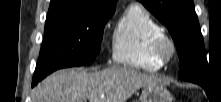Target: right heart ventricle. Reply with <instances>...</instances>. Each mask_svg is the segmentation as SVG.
Masks as SVG:
<instances>
[{
	"mask_svg": "<svg viewBox=\"0 0 221 102\" xmlns=\"http://www.w3.org/2000/svg\"><path fill=\"white\" fill-rule=\"evenodd\" d=\"M163 30L152 14L139 4H130L117 20L112 34L111 56L122 66L157 71L163 64L150 53L151 41Z\"/></svg>",
	"mask_w": 221,
	"mask_h": 102,
	"instance_id": "1",
	"label": "right heart ventricle"
}]
</instances>
